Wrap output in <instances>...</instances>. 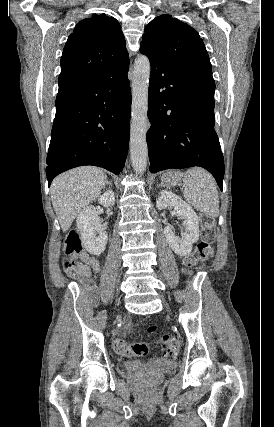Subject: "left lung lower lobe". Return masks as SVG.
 Masks as SVG:
<instances>
[{
	"instance_id": "left-lung-lower-lobe-1",
	"label": "left lung lower lobe",
	"mask_w": 274,
	"mask_h": 427,
	"mask_svg": "<svg viewBox=\"0 0 274 427\" xmlns=\"http://www.w3.org/2000/svg\"><path fill=\"white\" fill-rule=\"evenodd\" d=\"M151 64L147 132L150 172L200 166L222 190L224 159L214 130L215 83L167 67L147 51Z\"/></svg>"
}]
</instances>
